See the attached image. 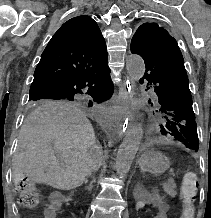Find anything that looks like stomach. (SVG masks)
Instances as JSON below:
<instances>
[{"instance_id": "1", "label": "stomach", "mask_w": 211, "mask_h": 218, "mask_svg": "<svg viewBox=\"0 0 211 218\" xmlns=\"http://www.w3.org/2000/svg\"><path fill=\"white\" fill-rule=\"evenodd\" d=\"M139 165L143 171L158 175L169 168L170 162L162 153L149 151L142 155Z\"/></svg>"}]
</instances>
